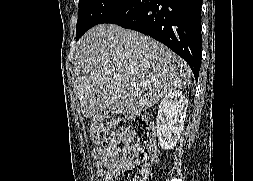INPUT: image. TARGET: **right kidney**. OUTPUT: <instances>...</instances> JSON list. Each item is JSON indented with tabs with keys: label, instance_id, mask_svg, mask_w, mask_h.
<instances>
[{
	"label": "right kidney",
	"instance_id": "ca27d5eb",
	"mask_svg": "<svg viewBox=\"0 0 253 181\" xmlns=\"http://www.w3.org/2000/svg\"><path fill=\"white\" fill-rule=\"evenodd\" d=\"M188 100L180 90H173L161 101L156 129L159 145L164 150L172 149L180 138L186 118Z\"/></svg>",
	"mask_w": 253,
	"mask_h": 181
}]
</instances>
